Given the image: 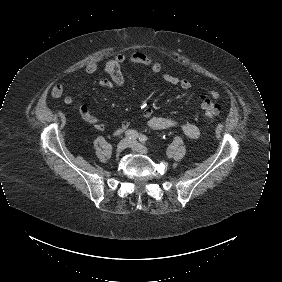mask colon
<instances>
[{
  "instance_id": "5ec220e1",
  "label": "colon",
  "mask_w": 282,
  "mask_h": 282,
  "mask_svg": "<svg viewBox=\"0 0 282 282\" xmlns=\"http://www.w3.org/2000/svg\"><path fill=\"white\" fill-rule=\"evenodd\" d=\"M201 108L209 120H214L220 114V106L207 96L200 97Z\"/></svg>"
}]
</instances>
